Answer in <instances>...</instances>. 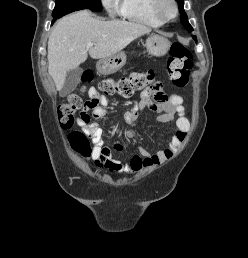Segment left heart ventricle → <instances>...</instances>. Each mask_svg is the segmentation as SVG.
I'll list each match as a JSON object with an SVG mask.
<instances>
[{"label": "left heart ventricle", "mask_w": 248, "mask_h": 258, "mask_svg": "<svg viewBox=\"0 0 248 258\" xmlns=\"http://www.w3.org/2000/svg\"><path fill=\"white\" fill-rule=\"evenodd\" d=\"M163 10L166 14H172V7L169 4H164Z\"/></svg>", "instance_id": "left-heart-ventricle-1"}]
</instances>
